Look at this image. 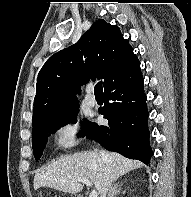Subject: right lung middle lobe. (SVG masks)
<instances>
[{"instance_id": "1", "label": "right lung middle lobe", "mask_w": 191, "mask_h": 197, "mask_svg": "<svg viewBox=\"0 0 191 197\" xmlns=\"http://www.w3.org/2000/svg\"><path fill=\"white\" fill-rule=\"evenodd\" d=\"M78 112H79V108L77 105L61 113H58L33 127L32 147H33V152H34V156L36 160H39L40 156L43 153V149L47 143L48 133L50 132V134H53L60 127L68 123H71V122L76 123ZM90 124L91 122H88L86 119H84L83 124H82L83 136L87 134Z\"/></svg>"}]
</instances>
